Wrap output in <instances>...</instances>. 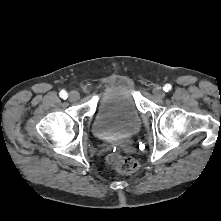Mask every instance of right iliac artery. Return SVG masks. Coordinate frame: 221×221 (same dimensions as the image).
<instances>
[{
  "mask_svg": "<svg viewBox=\"0 0 221 221\" xmlns=\"http://www.w3.org/2000/svg\"><path fill=\"white\" fill-rule=\"evenodd\" d=\"M60 97L63 98V99H66L67 98V93L66 91L62 90L60 93H59Z\"/></svg>",
  "mask_w": 221,
  "mask_h": 221,
  "instance_id": "right-iliac-artery-1",
  "label": "right iliac artery"
}]
</instances>
